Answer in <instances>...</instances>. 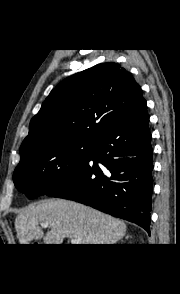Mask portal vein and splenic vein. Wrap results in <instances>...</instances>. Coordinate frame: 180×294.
<instances>
[{"mask_svg":"<svg viewBox=\"0 0 180 294\" xmlns=\"http://www.w3.org/2000/svg\"><path fill=\"white\" fill-rule=\"evenodd\" d=\"M41 225H42V227H44V228H47V227L49 226L47 223H41ZM81 243H82L81 240L78 239V238H73V239L71 240V244H74V245H78V244H81Z\"/></svg>","mask_w":180,"mask_h":294,"instance_id":"obj_1","label":"portal vein and splenic vein"}]
</instances>
